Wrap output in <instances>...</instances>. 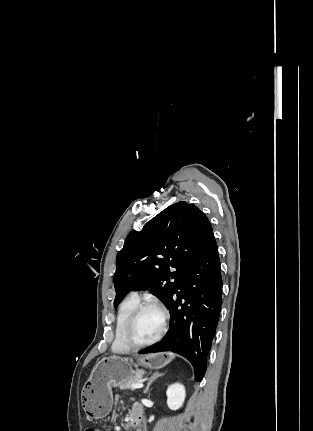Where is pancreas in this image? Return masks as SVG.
<instances>
[{"label":"pancreas","mask_w":313,"mask_h":431,"mask_svg":"<svg viewBox=\"0 0 313 431\" xmlns=\"http://www.w3.org/2000/svg\"><path fill=\"white\" fill-rule=\"evenodd\" d=\"M142 375H143V372H137L134 377H130L127 380H123V381L119 382L118 387L122 390H124V389L135 390V389L131 388L130 385L133 383L141 382Z\"/></svg>","instance_id":"obj_1"}]
</instances>
